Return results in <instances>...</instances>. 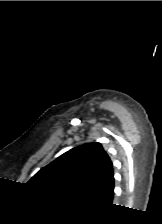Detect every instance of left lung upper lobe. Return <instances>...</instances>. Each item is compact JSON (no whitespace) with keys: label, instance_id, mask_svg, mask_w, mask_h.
<instances>
[{"label":"left lung upper lobe","instance_id":"obj_1","mask_svg":"<svg viewBox=\"0 0 162 224\" xmlns=\"http://www.w3.org/2000/svg\"><path fill=\"white\" fill-rule=\"evenodd\" d=\"M113 174L112 162L100 143H87L59 156L28 182L56 196L86 199Z\"/></svg>","mask_w":162,"mask_h":224}]
</instances>
